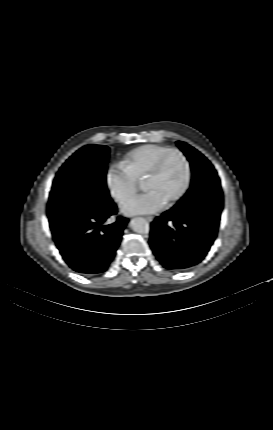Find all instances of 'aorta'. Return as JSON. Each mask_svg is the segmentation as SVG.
Instances as JSON below:
<instances>
[{"label":"aorta","mask_w":273,"mask_h":430,"mask_svg":"<svg viewBox=\"0 0 273 430\" xmlns=\"http://www.w3.org/2000/svg\"><path fill=\"white\" fill-rule=\"evenodd\" d=\"M130 227L134 232L139 234L149 233V223L147 220L141 217L133 218L130 221Z\"/></svg>","instance_id":"obj_1"}]
</instances>
